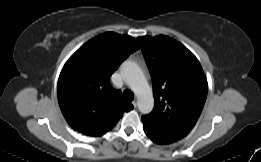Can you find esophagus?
I'll return each mask as SVG.
<instances>
[{"label":"esophagus","mask_w":261,"mask_h":162,"mask_svg":"<svg viewBox=\"0 0 261 162\" xmlns=\"http://www.w3.org/2000/svg\"><path fill=\"white\" fill-rule=\"evenodd\" d=\"M132 105H133L134 108H137V101L134 100V101L132 102Z\"/></svg>","instance_id":"34e87169"}]
</instances>
